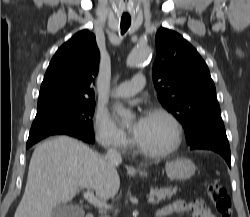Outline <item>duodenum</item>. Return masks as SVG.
Listing matches in <instances>:
<instances>
[{"label":"duodenum","instance_id":"1","mask_svg":"<svg viewBox=\"0 0 250 217\" xmlns=\"http://www.w3.org/2000/svg\"><path fill=\"white\" fill-rule=\"evenodd\" d=\"M155 216L160 217L158 212L155 214ZM85 217H94V215L92 213H88V214H86Z\"/></svg>","mask_w":250,"mask_h":217}]
</instances>
